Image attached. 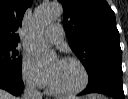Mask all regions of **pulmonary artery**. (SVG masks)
Listing matches in <instances>:
<instances>
[{
	"label": "pulmonary artery",
	"instance_id": "pulmonary-artery-1",
	"mask_svg": "<svg viewBox=\"0 0 128 99\" xmlns=\"http://www.w3.org/2000/svg\"><path fill=\"white\" fill-rule=\"evenodd\" d=\"M45 39L52 44H60L64 39L63 28L60 24L49 26L44 32Z\"/></svg>",
	"mask_w": 128,
	"mask_h": 99
}]
</instances>
